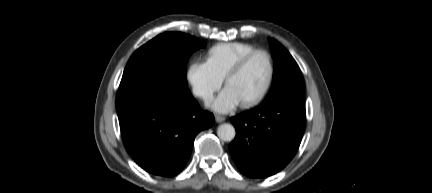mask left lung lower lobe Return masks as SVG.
Returning a JSON list of instances; mask_svg holds the SVG:
<instances>
[{"label":"left lung lower lobe","instance_id":"0a47b994","mask_svg":"<svg viewBox=\"0 0 432 193\" xmlns=\"http://www.w3.org/2000/svg\"><path fill=\"white\" fill-rule=\"evenodd\" d=\"M236 137L230 154L246 176L263 178L283 169L295 155L304 130L305 107L272 101L231 118Z\"/></svg>","mask_w":432,"mask_h":193}]
</instances>
